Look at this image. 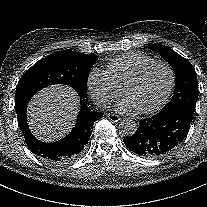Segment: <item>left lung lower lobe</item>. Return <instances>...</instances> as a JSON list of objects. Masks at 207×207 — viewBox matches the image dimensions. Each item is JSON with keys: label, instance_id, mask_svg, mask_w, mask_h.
I'll list each match as a JSON object with an SVG mask.
<instances>
[{"label": "left lung lower lobe", "instance_id": "1", "mask_svg": "<svg viewBox=\"0 0 207 207\" xmlns=\"http://www.w3.org/2000/svg\"><path fill=\"white\" fill-rule=\"evenodd\" d=\"M193 114L183 108L161 110L158 114L140 120L132 136L125 137V145L133 152L147 158L168 154L186 136Z\"/></svg>", "mask_w": 207, "mask_h": 207}]
</instances>
